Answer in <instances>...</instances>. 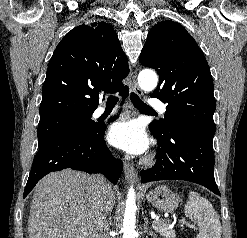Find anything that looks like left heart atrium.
<instances>
[{"label":"left heart atrium","instance_id":"39dd6f15","mask_svg":"<svg viewBox=\"0 0 247 238\" xmlns=\"http://www.w3.org/2000/svg\"><path fill=\"white\" fill-rule=\"evenodd\" d=\"M109 142L132 154L143 153L148 147V140L142 127L133 120L114 123L108 133Z\"/></svg>","mask_w":247,"mask_h":238}]
</instances>
